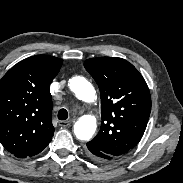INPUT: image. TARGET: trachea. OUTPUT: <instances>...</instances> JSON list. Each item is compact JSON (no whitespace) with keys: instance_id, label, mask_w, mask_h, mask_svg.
I'll use <instances>...</instances> for the list:
<instances>
[{"instance_id":"obj_1","label":"trachea","mask_w":183,"mask_h":183,"mask_svg":"<svg viewBox=\"0 0 183 183\" xmlns=\"http://www.w3.org/2000/svg\"><path fill=\"white\" fill-rule=\"evenodd\" d=\"M68 118V112L66 109H60L58 112L59 120H66Z\"/></svg>"}]
</instances>
